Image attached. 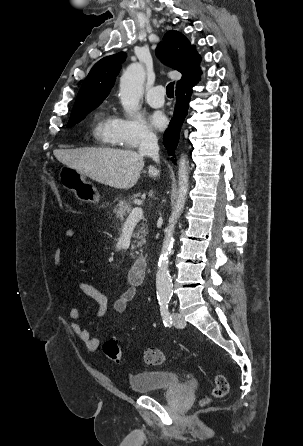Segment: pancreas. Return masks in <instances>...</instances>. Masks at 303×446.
Segmentation results:
<instances>
[{
	"mask_svg": "<svg viewBox=\"0 0 303 446\" xmlns=\"http://www.w3.org/2000/svg\"><path fill=\"white\" fill-rule=\"evenodd\" d=\"M131 210H132V207L127 201L120 200L113 211L116 214L117 220H119L120 222H123L125 220V218L127 217V215L131 212ZM146 234H147L146 225L142 224L141 227H139L138 230L134 234V237L136 238L134 243H136V245H132L131 250H135L136 247H139V246L141 247L145 243Z\"/></svg>",
	"mask_w": 303,
	"mask_h": 446,
	"instance_id": "1",
	"label": "pancreas"
}]
</instances>
